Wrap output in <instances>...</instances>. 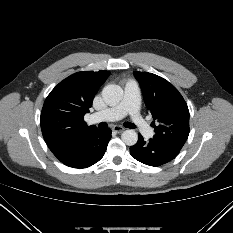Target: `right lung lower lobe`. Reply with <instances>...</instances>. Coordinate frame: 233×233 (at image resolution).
<instances>
[{"mask_svg": "<svg viewBox=\"0 0 233 233\" xmlns=\"http://www.w3.org/2000/svg\"><path fill=\"white\" fill-rule=\"evenodd\" d=\"M111 130H93L81 137L72 146L55 156L66 166L86 168L98 162L104 155Z\"/></svg>", "mask_w": 233, "mask_h": 233, "instance_id": "1", "label": "right lung lower lobe"}]
</instances>
